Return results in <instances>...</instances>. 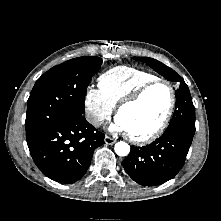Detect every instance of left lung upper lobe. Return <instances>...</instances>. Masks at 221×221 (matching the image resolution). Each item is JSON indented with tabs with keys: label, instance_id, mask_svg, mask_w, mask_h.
I'll return each mask as SVG.
<instances>
[{
	"label": "left lung upper lobe",
	"instance_id": "1",
	"mask_svg": "<svg viewBox=\"0 0 221 221\" xmlns=\"http://www.w3.org/2000/svg\"><path fill=\"white\" fill-rule=\"evenodd\" d=\"M147 63L152 69L164 76L166 79L173 81L177 88L175 112L166 132L183 131L190 134L195 133V107L192 102L190 91L183 78L173 69L164 65L158 60L148 57H133Z\"/></svg>",
	"mask_w": 221,
	"mask_h": 221
}]
</instances>
